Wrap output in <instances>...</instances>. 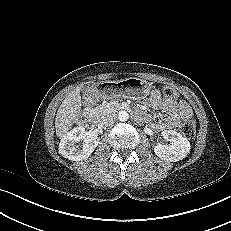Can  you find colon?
Returning <instances> with one entry per match:
<instances>
[{"label": "colon", "mask_w": 231, "mask_h": 231, "mask_svg": "<svg viewBox=\"0 0 231 231\" xmlns=\"http://www.w3.org/2000/svg\"><path fill=\"white\" fill-rule=\"evenodd\" d=\"M163 95L168 99H175L177 97L175 89L170 86L163 88ZM179 129L186 138L192 139L196 133V122L192 117H188L180 123Z\"/></svg>", "instance_id": "obj_1"}]
</instances>
